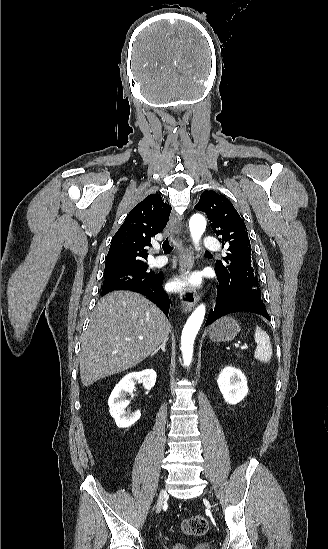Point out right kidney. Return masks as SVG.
<instances>
[{
	"mask_svg": "<svg viewBox=\"0 0 328 549\" xmlns=\"http://www.w3.org/2000/svg\"><path fill=\"white\" fill-rule=\"evenodd\" d=\"M156 373L153 369H145V371H140V373H129L125 375L118 385L114 387L109 399V413L113 419H115L116 425L118 427H131L134 425L138 419H140V411H136L133 415H127L125 409L129 405V401H124L126 393H133V389L137 381L143 383V387L150 391L156 383Z\"/></svg>",
	"mask_w": 328,
	"mask_h": 549,
	"instance_id": "1",
	"label": "right kidney"
}]
</instances>
